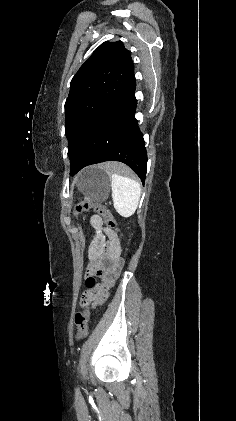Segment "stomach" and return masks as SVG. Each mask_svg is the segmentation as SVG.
I'll return each instance as SVG.
<instances>
[{
	"label": "stomach",
	"mask_w": 236,
	"mask_h": 421,
	"mask_svg": "<svg viewBox=\"0 0 236 421\" xmlns=\"http://www.w3.org/2000/svg\"><path fill=\"white\" fill-rule=\"evenodd\" d=\"M111 176L100 166H89L82 170L78 178V188L82 190L85 198L93 202H103L110 192Z\"/></svg>",
	"instance_id": "obj_1"
}]
</instances>
